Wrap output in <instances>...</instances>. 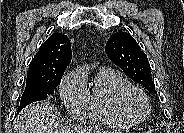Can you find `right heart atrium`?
<instances>
[{
    "label": "right heart atrium",
    "mask_w": 184,
    "mask_h": 133,
    "mask_svg": "<svg viewBox=\"0 0 184 133\" xmlns=\"http://www.w3.org/2000/svg\"><path fill=\"white\" fill-rule=\"evenodd\" d=\"M60 97L68 113L75 119L87 114L89 90L84 74L80 70L67 74L60 84Z\"/></svg>",
    "instance_id": "d8ad5b80"
}]
</instances>
